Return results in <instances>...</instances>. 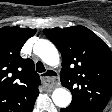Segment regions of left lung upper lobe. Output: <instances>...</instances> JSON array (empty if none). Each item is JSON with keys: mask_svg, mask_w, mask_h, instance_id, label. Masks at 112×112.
<instances>
[{"mask_svg": "<svg viewBox=\"0 0 112 112\" xmlns=\"http://www.w3.org/2000/svg\"><path fill=\"white\" fill-rule=\"evenodd\" d=\"M62 55L60 80L73 96L71 106L103 110L112 95V52L83 26L44 29Z\"/></svg>", "mask_w": 112, "mask_h": 112, "instance_id": "5c2ea615", "label": "left lung upper lobe"}]
</instances>
